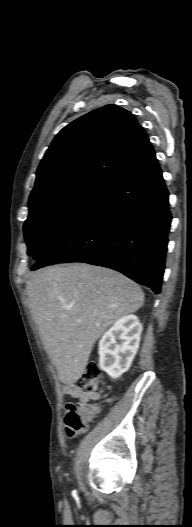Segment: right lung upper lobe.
<instances>
[{"mask_svg":"<svg viewBox=\"0 0 192 527\" xmlns=\"http://www.w3.org/2000/svg\"><path fill=\"white\" fill-rule=\"evenodd\" d=\"M150 144L135 117L106 105L63 128L45 153L30 197L85 178L108 181Z\"/></svg>","mask_w":192,"mask_h":527,"instance_id":"obj_1","label":"right lung upper lobe"}]
</instances>
